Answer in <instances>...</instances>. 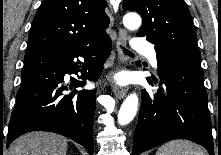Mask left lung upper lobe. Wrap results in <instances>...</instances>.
<instances>
[{
	"instance_id": "obj_1",
	"label": "left lung upper lobe",
	"mask_w": 221,
	"mask_h": 155,
	"mask_svg": "<svg viewBox=\"0 0 221 155\" xmlns=\"http://www.w3.org/2000/svg\"><path fill=\"white\" fill-rule=\"evenodd\" d=\"M122 7L142 16L137 36L155 44L156 51L172 50L200 57L196 31L184 0H124Z\"/></svg>"
}]
</instances>
